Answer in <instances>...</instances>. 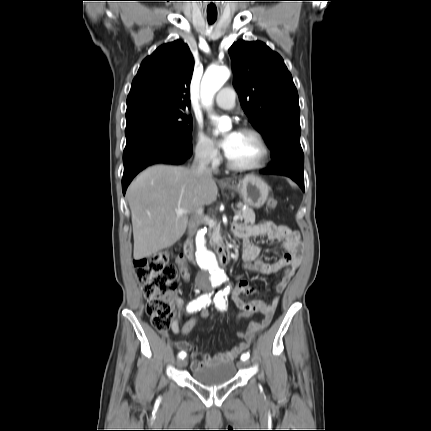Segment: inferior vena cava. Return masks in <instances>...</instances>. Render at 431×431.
<instances>
[{"label": "inferior vena cava", "mask_w": 431, "mask_h": 431, "mask_svg": "<svg viewBox=\"0 0 431 431\" xmlns=\"http://www.w3.org/2000/svg\"><path fill=\"white\" fill-rule=\"evenodd\" d=\"M191 171L194 172L197 176H207L211 177L212 173L208 167V161L206 154L203 152H199L195 155ZM203 209L199 210V213H202ZM198 227V221L193 220L189 223V236L193 237Z\"/></svg>", "instance_id": "obj_1"}]
</instances>
